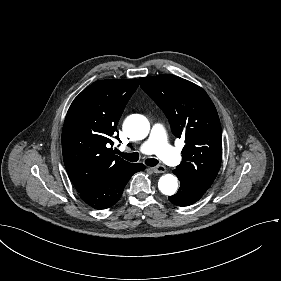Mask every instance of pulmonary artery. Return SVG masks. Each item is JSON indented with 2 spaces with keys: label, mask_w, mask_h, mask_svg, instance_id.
<instances>
[{
  "label": "pulmonary artery",
  "mask_w": 281,
  "mask_h": 281,
  "mask_svg": "<svg viewBox=\"0 0 281 281\" xmlns=\"http://www.w3.org/2000/svg\"><path fill=\"white\" fill-rule=\"evenodd\" d=\"M152 141H145L142 144V151L145 154H157L168 164L173 165L179 161V153L174 150L171 142L165 135V125L162 122H155L152 125Z\"/></svg>",
  "instance_id": "obj_1"
}]
</instances>
